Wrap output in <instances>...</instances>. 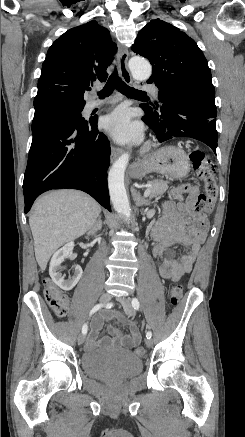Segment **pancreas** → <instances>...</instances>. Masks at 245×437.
<instances>
[{"label":"pancreas","mask_w":245,"mask_h":437,"mask_svg":"<svg viewBox=\"0 0 245 437\" xmlns=\"http://www.w3.org/2000/svg\"><path fill=\"white\" fill-rule=\"evenodd\" d=\"M151 189H150V199L153 197L162 196L165 191L168 189V182L163 180H153L150 182Z\"/></svg>","instance_id":"obj_1"}]
</instances>
